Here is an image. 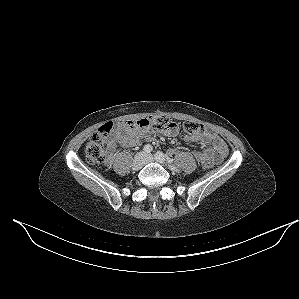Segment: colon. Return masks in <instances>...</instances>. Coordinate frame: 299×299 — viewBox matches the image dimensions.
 <instances>
[{
	"instance_id": "colon-1",
	"label": "colon",
	"mask_w": 299,
	"mask_h": 299,
	"mask_svg": "<svg viewBox=\"0 0 299 299\" xmlns=\"http://www.w3.org/2000/svg\"><path fill=\"white\" fill-rule=\"evenodd\" d=\"M116 122H108L102 125L91 137L85 148V158L90 164H100L107 157L108 139L111 132L117 127ZM127 125L131 128L149 129L173 133L177 132L179 126L176 122L171 121L165 116H152L137 121H127ZM202 125L195 121H186L183 124V129L188 134H197L201 132ZM210 160H204L201 165L204 169H210L213 166Z\"/></svg>"
}]
</instances>
